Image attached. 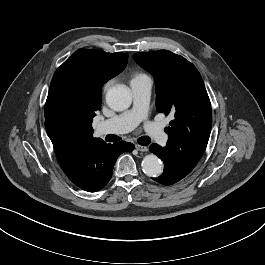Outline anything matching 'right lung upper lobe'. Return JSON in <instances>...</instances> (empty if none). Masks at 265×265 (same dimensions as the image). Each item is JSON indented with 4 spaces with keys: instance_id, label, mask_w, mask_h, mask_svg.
<instances>
[{
    "instance_id": "obj_1",
    "label": "right lung upper lobe",
    "mask_w": 265,
    "mask_h": 265,
    "mask_svg": "<svg viewBox=\"0 0 265 265\" xmlns=\"http://www.w3.org/2000/svg\"><path fill=\"white\" fill-rule=\"evenodd\" d=\"M128 54L106 53L97 50H77L63 65L72 64L76 80L86 83L92 92L89 109L70 129H63L49 119L45 127L62 168L73 163L92 143L103 141L93 137L92 121L101 108V87L123 71Z\"/></svg>"
}]
</instances>
